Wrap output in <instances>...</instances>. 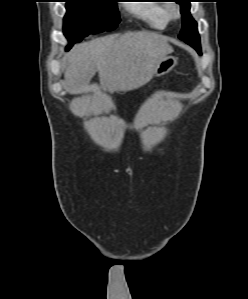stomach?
<instances>
[{"label":"stomach","instance_id":"0dacf381","mask_svg":"<svg viewBox=\"0 0 248 299\" xmlns=\"http://www.w3.org/2000/svg\"><path fill=\"white\" fill-rule=\"evenodd\" d=\"M177 64V58L173 56H166L158 65L155 75L157 77L169 73Z\"/></svg>","mask_w":248,"mask_h":299}]
</instances>
